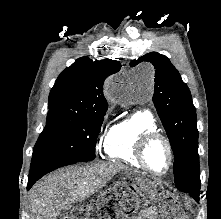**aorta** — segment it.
<instances>
[{"label": "aorta", "mask_w": 221, "mask_h": 219, "mask_svg": "<svg viewBox=\"0 0 221 219\" xmlns=\"http://www.w3.org/2000/svg\"><path fill=\"white\" fill-rule=\"evenodd\" d=\"M136 79L140 81L141 83L150 86L153 83V76L154 72L153 69L150 67H141L135 72ZM112 94L114 95H119L120 90L119 89H114L111 91Z\"/></svg>", "instance_id": "762f6f07"}]
</instances>
